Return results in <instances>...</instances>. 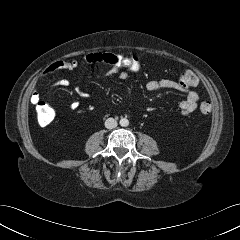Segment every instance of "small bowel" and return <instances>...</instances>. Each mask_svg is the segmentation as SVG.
<instances>
[{
  "label": "small bowel",
  "mask_w": 240,
  "mask_h": 240,
  "mask_svg": "<svg viewBox=\"0 0 240 240\" xmlns=\"http://www.w3.org/2000/svg\"><path fill=\"white\" fill-rule=\"evenodd\" d=\"M96 53H89V55H94ZM90 64H96L94 62H88ZM107 69L104 71V75H111V74H118L119 78L122 80H126L128 78V74L123 71H115L110 66L106 65ZM78 67V61L77 60H59L51 64V66L48 68V73H53L58 70H66L71 71ZM69 80L66 78L59 79L54 86H60V87H67L69 86ZM75 92L82 98H87L88 93L83 91L79 87H75ZM146 89L151 92L159 91V90H180L185 92L186 98L181 101L178 105L180 114L185 116L193 112L198 105L199 101V95L197 92L183 88L180 86L179 81L171 80V79H162V80H149L146 83ZM32 103L36 104L40 101V94L37 91H34L31 96ZM79 106L78 102H72L70 107L72 109H77Z\"/></svg>",
  "instance_id": "c3829d8e"
}]
</instances>
